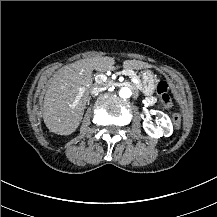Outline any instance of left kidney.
Masks as SVG:
<instances>
[{"label": "left kidney", "mask_w": 217, "mask_h": 217, "mask_svg": "<svg viewBox=\"0 0 217 217\" xmlns=\"http://www.w3.org/2000/svg\"><path fill=\"white\" fill-rule=\"evenodd\" d=\"M157 115L158 124H154L151 118L147 116L143 121V128L145 132L154 138H160L162 136L169 137L173 133V125L167 114L162 111L152 110Z\"/></svg>", "instance_id": "obj_1"}]
</instances>
